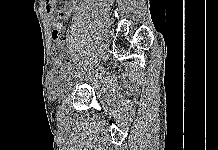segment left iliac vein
Returning a JSON list of instances; mask_svg holds the SVG:
<instances>
[{"label":"left iliac vein","mask_w":218,"mask_h":150,"mask_svg":"<svg viewBox=\"0 0 218 150\" xmlns=\"http://www.w3.org/2000/svg\"><path fill=\"white\" fill-rule=\"evenodd\" d=\"M74 78L77 76L75 73L72 75ZM72 76H66L65 79V83L63 84L64 86L62 87L63 90L60 91V94L57 96V101L60 102L62 100V96H65V94L67 93V88L69 87V85L73 82V77Z\"/></svg>","instance_id":"obj_1"}]
</instances>
